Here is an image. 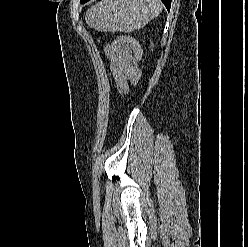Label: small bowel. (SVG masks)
<instances>
[{
  "mask_svg": "<svg viewBox=\"0 0 248 247\" xmlns=\"http://www.w3.org/2000/svg\"><path fill=\"white\" fill-rule=\"evenodd\" d=\"M104 50L110 61L117 90L120 95H126L130 85H135L140 78L138 61L131 47L119 40L106 45Z\"/></svg>",
  "mask_w": 248,
  "mask_h": 247,
  "instance_id": "c3829d8e",
  "label": "small bowel"
}]
</instances>
